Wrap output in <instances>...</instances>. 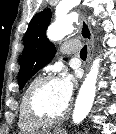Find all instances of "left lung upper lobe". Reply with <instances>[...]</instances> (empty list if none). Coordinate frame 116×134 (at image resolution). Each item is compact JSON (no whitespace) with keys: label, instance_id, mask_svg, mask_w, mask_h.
Masks as SVG:
<instances>
[{"label":"left lung upper lobe","instance_id":"obj_1","mask_svg":"<svg viewBox=\"0 0 116 134\" xmlns=\"http://www.w3.org/2000/svg\"><path fill=\"white\" fill-rule=\"evenodd\" d=\"M51 16V10L45 9L36 14L29 23L18 73L20 90L39 69L52 60L56 53L54 44L46 37Z\"/></svg>","mask_w":116,"mask_h":134}]
</instances>
